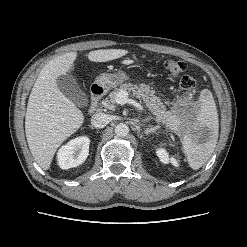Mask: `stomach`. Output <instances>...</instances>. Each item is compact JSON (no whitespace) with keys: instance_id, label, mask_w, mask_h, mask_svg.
I'll use <instances>...</instances> for the list:
<instances>
[{"instance_id":"0dacf381","label":"stomach","mask_w":247,"mask_h":247,"mask_svg":"<svg viewBox=\"0 0 247 247\" xmlns=\"http://www.w3.org/2000/svg\"><path fill=\"white\" fill-rule=\"evenodd\" d=\"M125 80H127V75L124 72L115 74L103 73L96 78L95 83L108 90L118 86ZM170 120L171 123L168 126L180 135H185L191 131L195 119L188 120L186 117H180L171 113Z\"/></svg>"}]
</instances>
